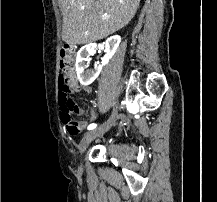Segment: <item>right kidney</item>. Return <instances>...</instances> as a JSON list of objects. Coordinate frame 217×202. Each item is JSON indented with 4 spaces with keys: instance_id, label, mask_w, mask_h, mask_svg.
I'll return each instance as SVG.
<instances>
[{
    "instance_id": "1",
    "label": "right kidney",
    "mask_w": 217,
    "mask_h": 202,
    "mask_svg": "<svg viewBox=\"0 0 217 202\" xmlns=\"http://www.w3.org/2000/svg\"><path fill=\"white\" fill-rule=\"evenodd\" d=\"M121 42L120 36H111V38H107L105 42V56L102 60L101 66L97 68V70H87L86 62H90L89 56H93L96 50V44H87V46H82L80 48L77 58H76V74L77 78L82 84V86H90L94 80H96L97 76H99L103 66L108 64L110 58L114 56L119 44Z\"/></svg>"
}]
</instances>
